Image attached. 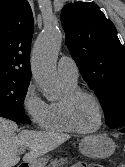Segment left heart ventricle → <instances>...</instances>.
<instances>
[{"mask_svg":"<svg viewBox=\"0 0 125 167\" xmlns=\"http://www.w3.org/2000/svg\"><path fill=\"white\" fill-rule=\"evenodd\" d=\"M74 119L82 129H93L99 123V112L92 99L88 97L79 98L74 105Z\"/></svg>","mask_w":125,"mask_h":167,"instance_id":"b2bd125f","label":"left heart ventricle"}]
</instances>
